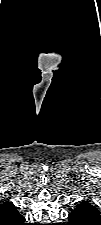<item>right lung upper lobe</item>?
Masks as SVG:
<instances>
[{"label":"right lung upper lobe","mask_w":101,"mask_h":225,"mask_svg":"<svg viewBox=\"0 0 101 225\" xmlns=\"http://www.w3.org/2000/svg\"><path fill=\"white\" fill-rule=\"evenodd\" d=\"M22 215L19 214L16 207L11 202H4L0 206V225H17L22 220Z\"/></svg>","instance_id":"1"}]
</instances>
